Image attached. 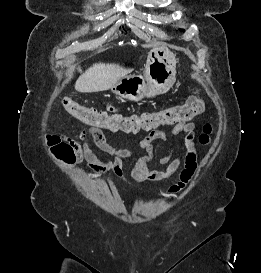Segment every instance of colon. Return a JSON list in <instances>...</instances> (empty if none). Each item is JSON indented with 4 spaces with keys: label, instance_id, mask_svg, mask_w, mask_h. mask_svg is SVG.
<instances>
[{
    "label": "colon",
    "instance_id": "5ec220e1",
    "mask_svg": "<svg viewBox=\"0 0 261 273\" xmlns=\"http://www.w3.org/2000/svg\"><path fill=\"white\" fill-rule=\"evenodd\" d=\"M62 104L73 117L85 124L111 131L124 132L150 130L164 125L186 123L201 115L205 110V102L198 93L190 95L183 104L156 112H146L131 116L112 115L105 111L84 107L68 97L62 99ZM212 131L210 124L204 125L199 136V144L201 146L209 144ZM46 141L50 153L56 161L62 164L74 163V150L63 136L49 134Z\"/></svg>",
    "mask_w": 261,
    "mask_h": 273
}]
</instances>
